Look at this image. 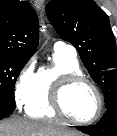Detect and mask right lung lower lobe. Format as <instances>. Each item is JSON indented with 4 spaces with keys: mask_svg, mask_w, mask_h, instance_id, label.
I'll use <instances>...</instances> for the list:
<instances>
[{
    "mask_svg": "<svg viewBox=\"0 0 117 136\" xmlns=\"http://www.w3.org/2000/svg\"><path fill=\"white\" fill-rule=\"evenodd\" d=\"M15 107V100L0 97V120L11 114Z\"/></svg>",
    "mask_w": 117,
    "mask_h": 136,
    "instance_id": "1",
    "label": "right lung lower lobe"
}]
</instances>
